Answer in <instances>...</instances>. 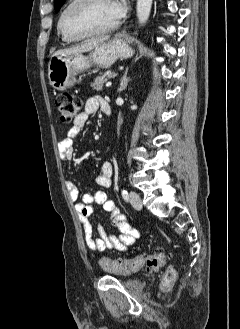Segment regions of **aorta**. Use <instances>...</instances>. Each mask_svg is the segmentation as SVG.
Instances as JSON below:
<instances>
[{
    "label": "aorta",
    "mask_w": 240,
    "mask_h": 329,
    "mask_svg": "<svg viewBox=\"0 0 240 329\" xmlns=\"http://www.w3.org/2000/svg\"><path fill=\"white\" fill-rule=\"evenodd\" d=\"M152 1L153 0H137L136 11L139 23L144 24L147 22L151 12Z\"/></svg>",
    "instance_id": "aorta-1"
}]
</instances>
